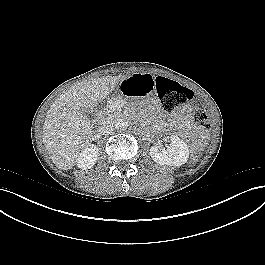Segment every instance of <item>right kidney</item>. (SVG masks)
<instances>
[{"label":"right kidney","mask_w":265,"mask_h":265,"mask_svg":"<svg viewBox=\"0 0 265 265\" xmlns=\"http://www.w3.org/2000/svg\"><path fill=\"white\" fill-rule=\"evenodd\" d=\"M99 156V149L96 145L90 144L82 152H80L76 159V165L83 170L92 168Z\"/></svg>","instance_id":"obj_1"}]
</instances>
